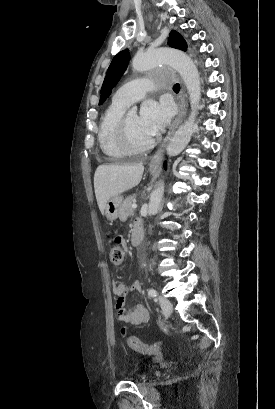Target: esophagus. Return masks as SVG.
I'll return each instance as SVG.
<instances>
[{"mask_svg":"<svg viewBox=\"0 0 275 409\" xmlns=\"http://www.w3.org/2000/svg\"><path fill=\"white\" fill-rule=\"evenodd\" d=\"M186 114V97H185V90L182 88L181 90V98L179 102V114L176 117L175 121L173 122V125L169 129L166 137L164 138L162 144L158 148V150L155 152L153 159H161V157L164 154V151L168 145L169 140L171 139L172 135L175 133V130L177 127L180 125L182 122L184 116Z\"/></svg>","mask_w":275,"mask_h":409,"instance_id":"obj_1","label":"esophagus"}]
</instances>
